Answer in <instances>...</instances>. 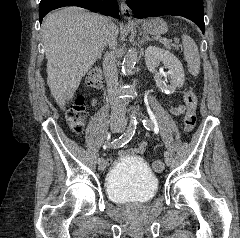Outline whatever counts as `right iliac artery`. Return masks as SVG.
Wrapping results in <instances>:
<instances>
[{
    "label": "right iliac artery",
    "instance_id": "right-iliac-artery-1",
    "mask_svg": "<svg viewBox=\"0 0 240 238\" xmlns=\"http://www.w3.org/2000/svg\"><path fill=\"white\" fill-rule=\"evenodd\" d=\"M136 126H137V120L135 119V117H133L130 120L127 130L119 138L115 139L114 141L109 140L107 142L108 144L105 143L104 146H107V147L109 146L112 148L123 147L132 139L136 130ZM102 160H103L102 158H98V163L101 162Z\"/></svg>",
    "mask_w": 240,
    "mask_h": 238
}]
</instances>
